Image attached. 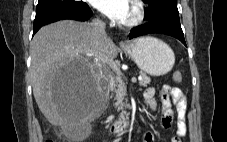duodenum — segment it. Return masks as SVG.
<instances>
[{
    "label": "duodenum",
    "mask_w": 227,
    "mask_h": 142,
    "mask_svg": "<svg viewBox=\"0 0 227 142\" xmlns=\"http://www.w3.org/2000/svg\"><path fill=\"white\" fill-rule=\"evenodd\" d=\"M133 127V123L128 119H119L110 125V132L114 134L126 133Z\"/></svg>",
    "instance_id": "obj_1"
}]
</instances>
